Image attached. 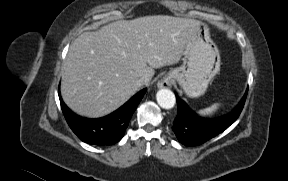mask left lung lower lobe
Wrapping results in <instances>:
<instances>
[{"mask_svg": "<svg viewBox=\"0 0 288 181\" xmlns=\"http://www.w3.org/2000/svg\"><path fill=\"white\" fill-rule=\"evenodd\" d=\"M247 91L233 111L215 119H207L195 115L186 103L176 96L178 113L172 130L179 142L186 146L201 145L222 133L239 117L246 100Z\"/></svg>", "mask_w": 288, "mask_h": 181, "instance_id": "0a47b994", "label": "left lung lower lobe"}]
</instances>
